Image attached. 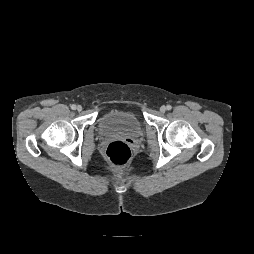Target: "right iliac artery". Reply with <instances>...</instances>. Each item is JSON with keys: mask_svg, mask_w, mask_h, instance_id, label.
<instances>
[{"mask_svg": "<svg viewBox=\"0 0 254 254\" xmlns=\"http://www.w3.org/2000/svg\"><path fill=\"white\" fill-rule=\"evenodd\" d=\"M71 109H72V110H75V109H76V105H74V104L71 105Z\"/></svg>", "mask_w": 254, "mask_h": 254, "instance_id": "82829eb1", "label": "right iliac artery"}]
</instances>
